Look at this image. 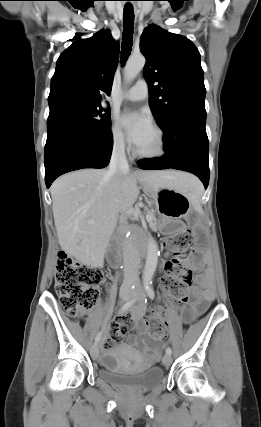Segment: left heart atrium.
I'll return each mask as SVG.
<instances>
[{
    "label": "left heart atrium",
    "mask_w": 261,
    "mask_h": 427,
    "mask_svg": "<svg viewBox=\"0 0 261 427\" xmlns=\"http://www.w3.org/2000/svg\"><path fill=\"white\" fill-rule=\"evenodd\" d=\"M120 124L124 128L127 138L137 148L141 146L153 130L152 122L144 112H128L123 114Z\"/></svg>",
    "instance_id": "obj_1"
}]
</instances>
